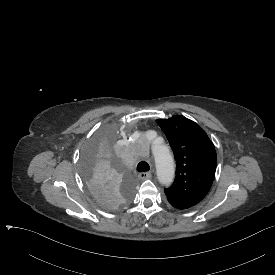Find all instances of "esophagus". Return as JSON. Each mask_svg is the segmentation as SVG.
<instances>
[{"instance_id": "1", "label": "esophagus", "mask_w": 275, "mask_h": 275, "mask_svg": "<svg viewBox=\"0 0 275 275\" xmlns=\"http://www.w3.org/2000/svg\"><path fill=\"white\" fill-rule=\"evenodd\" d=\"M139 178L143 179V180H147L151 178V173L150 172H142L139 173Z\"/></svg>"}]
</instances>
